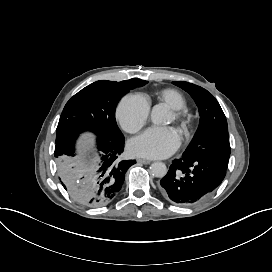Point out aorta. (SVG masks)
<instances>
[{
  "label": "aorta",
  "instance_id": "aorta-1",
  "mask_svg": "<svg viewBox=\"0 0 272 272\" xmlns=\"http://www.w3.org/2000/svg\"><path fill=\"white\" fill-rule=\"evenodd\" d=\"M168 113V107L165 104H157L151 112V120L154 124L164 122L165 116ZM150 172L153 176L163 178L167 174V167L163 162H154L150 166Z\"/></svg>",
  "mask_w": 272,
  "mask_h": 272
}]
</instances>
